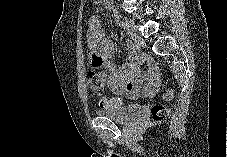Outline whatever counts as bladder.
<instances>
[{"mask_svg": "<svg viewBox=\"0 0 227 157\" xmlns=\"http://www.w3.org/2000/svg\"><path fill=\"white\" fill-rule=\"evenodd\" d=\"M96 114L120 123H131L142 114V107L139 104H129L119 107L101 108L96 110Z\"/></svg>", "mask_w": 227, "mask_h": 157, "instance_id": "31cf9c89", "label": "bladder"}]
</instances>
